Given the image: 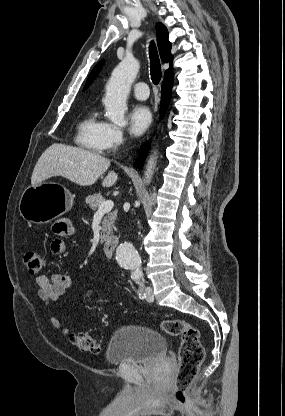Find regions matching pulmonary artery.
Here are the masks:
<instances>
[{"label":"pulmonary artery","mask_w":285,"mask_h":416,"mask_svg":"<svg viewBox=\"0 0 285 416\" xmlns=\"http://www.w3.org/2000/svg\"><path fill=\"white\" fill-rule=\"evenodd\" d=\"M144 86H147L144 82H138L131 86V90L134 92L136 98L144 100L148 97V89Z\"/></svg>","instance_id":"pulmonary-artery-1"}]
</instances>
